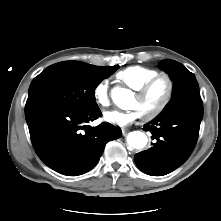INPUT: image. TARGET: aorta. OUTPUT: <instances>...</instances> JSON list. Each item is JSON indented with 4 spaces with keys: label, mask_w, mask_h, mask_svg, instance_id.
<instances>
[{
    "label": "aorta",
    "mask_w": 221,
    "mask_h": 221,
    "mask_svg": "<svg viewBox=\"0 0 221 221\" xmlns=\"http://www.w3.org/2000/svg\"><path fill=\"white\" fill-rule=\"evenodd\" d=\"M131 91L125 88H114L112 90V100L121 109H125L127 99L130 97ZM147 136L140 131L130 132L127 136V142L130 147L142 149L147 144Z\"/></svg>",
    "instance_id": "aorta-1"
}]
</instances>
